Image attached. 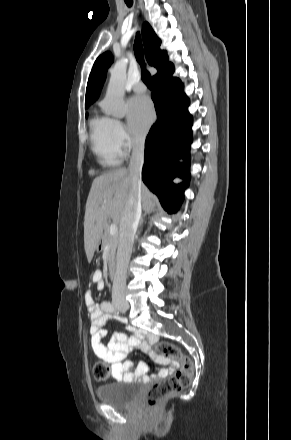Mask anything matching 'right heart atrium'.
<instances>
[{"instance_id":"1","label":"right heart atrium","mask_w":291,"mask_h":440,"mask_svg":"<svg viewBox=\"0 0 291 440\" xmlns=\"http://www.w3.org/2000/svg\"><path fill=\"white\" fill-rule=\"evenodd\" d=\"M113 136L115 144L122 154L139 143V140L129 133L125 124L120 120L113 121Z\"/></svg>"}]
</instances>
